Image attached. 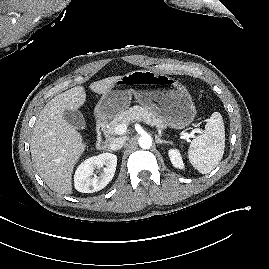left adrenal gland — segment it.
<instances>
[{
    "label": "left adrenal gland",
    "instance_id": "1",
    "mask_svg": "<svg viewBox=\"0 0 269 269\" xmlns=\"http://www.w3.org/2000/svg\"><path fill=\"white\" fill-rule=\"evenodd\" d=\"M155 141H156L157 144H162V143L167 144V143H169L168 141L160 139L157 135H155Z\"/></svg>",
    "mask_w": 269,
    "mask_h": 269
}]
</instances>
